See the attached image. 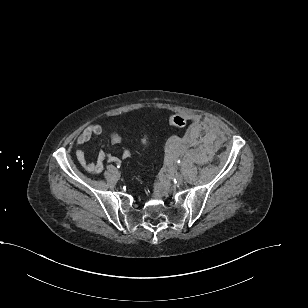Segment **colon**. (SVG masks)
Returning <instances> with one entry per match:
<instances>
[{"mask_svg":"<svg viewBox=\"0 0 308 308\" xmlns=\"http://www.w3.org/2000/svg\"><path fill=\"white\" fill-rule=\"evenodd\" d=\"M169 124L173 127H184L186 125V118L179 114L172 115L169 119Z\"/></svg>","mask_w":308,"mask_h":308,"instance_id":"obj_1","label":"colon"}]
</instances>
